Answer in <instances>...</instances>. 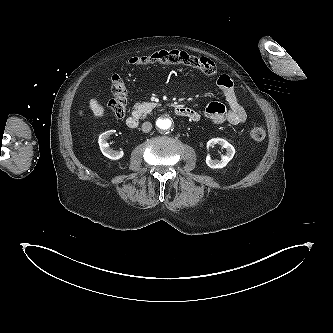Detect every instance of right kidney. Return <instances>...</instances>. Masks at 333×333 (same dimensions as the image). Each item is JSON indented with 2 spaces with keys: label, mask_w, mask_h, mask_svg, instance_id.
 I'll list each match as a JSON object with an SVG mask.
<instances>
[{
  "label": "right kidney",
  "mask_w": 333,
  "mask_h": 333,
  "mask_svg": "<svg viewBox=\"0 0 333 333\" xmlns=\"http://www.w3.org/2000/svg\"><path fill=\"white\" fill-rule=\"evenodd\" d=\"M114 132H115V130H109V131L102 133L99 136L98 143L100 146V150L104 156H106L107 158H109L111 160H118L123 157V155H124L123 151H114V150L110 149L109 144L106 142V139Z\"/></svg>",
  "instance_id": "obj_1"
}]
</instances>
